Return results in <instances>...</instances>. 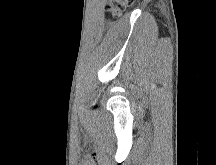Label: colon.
Listing matches in <instances>:
<instances>
[{
  "label": "colon",
  "instance_id": "obj_1",
  "mask_svg": "<svg viewBox=\"0 0 216 165\" xmlns=\"http://www.w3.org/2000/svg\"><path fill=\"white\" fill-rule=\"evenodd\" d=\"M134 0H108L109 11L115 16L118 17L121 15L124 8L132 4Z\"/></svg>",
  "mask_w": 216,
  "mask_h": 165
}]
</instances>
